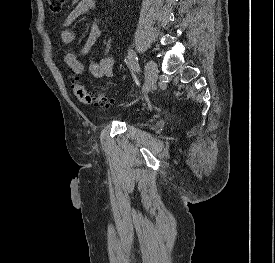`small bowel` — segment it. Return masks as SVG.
Here are the masks:
<instances>
[{"label":"small bowel","instance_id":"1","mask_svg":"<svg viewBox=\"0 0 275 263\" xmlns=\"http://www.w3.org/2000/svg\"><path fill=\"white\" fill-rule=\"evenodd\" d=\"M94 7V0H79L67 14L63 26L58 31L62 43L71 44L76 39V34L71 25L84 13ZM101 35V28L98 21H94L87 33L85 42L79 51V56L69 51L64 56V61L69 69L77 75H82L87 68L89 74L94 78L112 77L114 74V59L111 56H104L98 62H86L85 57Z\"/></svg>","mask_w":275,"mask_h":263}]
</instances>
